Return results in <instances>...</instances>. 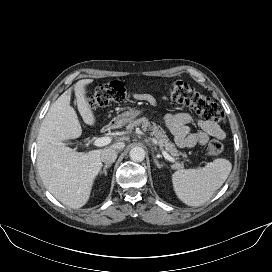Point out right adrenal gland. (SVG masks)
Here are the masks:
<instances>
[{"label":"right adrenal gland","mask_w":272,"mask_h":272,"mask_svg":"<svg viewBox=\"0 0 272 272\" xmlns=\"http://www.w3.org/2000/svg\"><path fill=\"white\" fill-rule=\"evenodd\" d=\"M109 167H111V164L105 165L104 168H103V170L100 172V174H104V176H106V175H107V171H106V170H107Z\"/></svg>","instance_id":"2a0ac1e0"}]
</instances>
